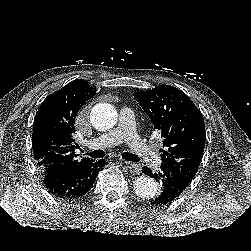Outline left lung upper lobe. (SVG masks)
<instances>
[{"instance_id": "1", "label": "left lung upper lobe", "mask_w": 251, "mask_h": 251, "mask_svg": "<svg viewBox=\"0 0 251 251\" xmlns=\"http://www.w3.org/2000/svg\"><path fill=\"white\" fill-rule=\"evenodd\" d=\"M134 98L161 131L162 164L193 179L205 147V124L200 110L185 93L169 85L134 93Z\"/></svg>"}]
</instances>
